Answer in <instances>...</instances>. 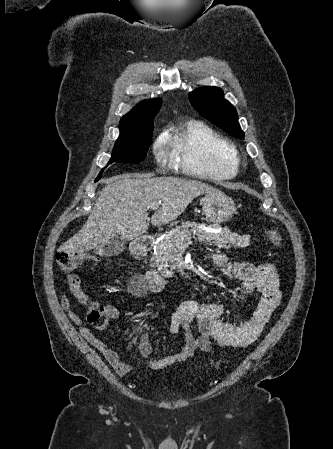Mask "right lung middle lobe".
<instances>
[{"instance_id":"obj_1","label":"right lung middle lobe","mask_w":333,"mask_h":449,"mask_svg":"<svg viewBox=\"0 0 333 449\" xmlns=\"http://www.w3.org/2000/svg\"><path fill=\"white\" fill-rule=\"evenodd\" d=\"M153 128L154 124L152 119H150L144 124V128L140 132V137L132 139H118L113 148L109 164L113 162L139 163L144 160L147 154L146 152L152 143L151 137ZM104 169L105 168L101 170L100 174L96 178V181L101 178Z\"/></svg>"}]
</instances>
